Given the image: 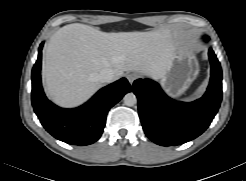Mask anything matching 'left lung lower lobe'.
I'll list each match as a JSON object with an SVG mask.
<instances>
[{
	"instance_id": "1",
	"label": "left lung lower lobe",
	"mask_w": 246,
	"mask_h": 181,
	"mask_svg": "<svg viewBox=\"0 0 246 181\" xmlns=\"http://www.w3.org/2000/svg\"><path fill=\"white\" fill-rule=\"evenodd\" d=\"M209 57L210 84L204 96L196 101L177 102L169 98L156 82L148 79L133 83L144 132L156 144L176 146L186 143L201 135L210 125L222 100V71L211 48Z\"/></svg>"
}]
</instances>
